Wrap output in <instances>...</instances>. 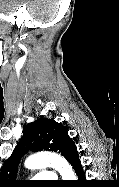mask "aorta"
<instances>
[{
  "mask_svg": "<svg viewBox=\"0 0 119 187\" xmlns=\"http://www.w3.org/2000/svg\"><path fill=\"white\" fill-rule=\"evenodd\" d=\"M47 166L53 167L62 176L63 180H76L77 177L71 165L59 154L51 152H39L29 156L25 161L28 169H38Z\"/></svg>",
  "mask_w": 119,
  "mask_h": 187,
  "instance_id": "aorta-1",
  "label": "aorta"
}]
</instances>
